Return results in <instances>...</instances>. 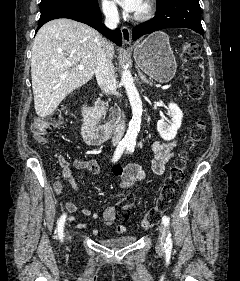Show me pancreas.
<instances>
[{"mask_svg": "<svg viewBox=\"0 0 240 281\" xmlns=\"http://www.w3.org/2000/svg\"><path fill=\"white\" fill-rule=\"evenodd\" d=\"M96 111L98 113H100L101 115H105L106 113V103L102 102V101H97L96 104Z\"/></svg>", "mask_w": 240, "mask_h": 281, "instance_id": "pancreas-1", "label": "pancreas"}]
</instances>
